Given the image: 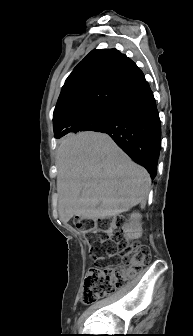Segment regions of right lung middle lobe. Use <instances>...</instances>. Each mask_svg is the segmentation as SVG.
Segmentation results:
<instances>
[{
  "label": "right lung middle lobe",
  "mask_w": 193,
  "mask_h": 336,
  "mask_svg": "<svg viewBox=\"0 0 193 336\" xmlns=\"http://www.w3.org/2000/svg\"><path fill=\"white\" fill-rule=\"evenodd\" d=\"M110 108L99 109L78 117L74 121L73 130L79 131H99L105 124L109 115Z\"/></svg>",
  "instance_id": "right-lung-middle-lobe-1"
}]
</instances>
